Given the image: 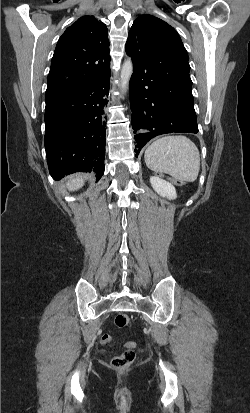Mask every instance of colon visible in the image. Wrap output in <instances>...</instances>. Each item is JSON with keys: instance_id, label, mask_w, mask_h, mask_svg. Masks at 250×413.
Returning <instances> with one entry per match:
<instances>
[{"instance_id": "1", "label": "colon", "mask_w": 250, "mask_h": 413, "mask_svg": "<svg viewBox=\"0 0 250 413\" xmlns=\"http://www.w3.org/2000/svg\"><path fill=\"white\" fill-rule=\"evenodd\" d=\"M153 175L156 176L158 180L170 182L172 187H183L185 185V180L183 178H174L173 175H167L165 171H160L159 169H154ZM129 323L130 317L126 314H119L115 318V325L119 328L126 327ZM111 341L112 338L109 335H103L101 344H109ZM124 346L125 351L119 356L114 357L111 361V366L115 370H126L135 359L137 344L133 341H128Z\"/></svg>"}]
</instances>
